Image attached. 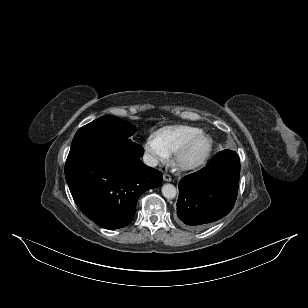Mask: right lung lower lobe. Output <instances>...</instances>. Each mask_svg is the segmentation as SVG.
Here are the masks:
<instances>
[{"mask_svg":"<svg viewBox=\"0 0 308 308\" xmlns=\"http://www.w3.org/2000/svg\"><path fill=\"white\" fill-rule=\"evenodd\" d=\"M65 177L82 213L105 229L128 225L139 196L162 183V174L138 154L110 146L69 152Z\"/></svg>","mask_w":308,"mask_h":308,"instance_id":"right-lung-lower-lobe-1","label":"right lung lower lobe"}]
</instances>
